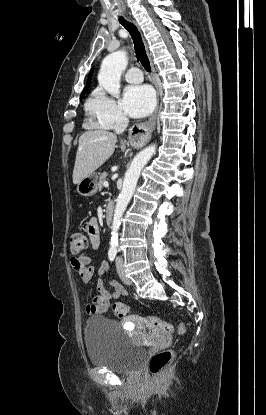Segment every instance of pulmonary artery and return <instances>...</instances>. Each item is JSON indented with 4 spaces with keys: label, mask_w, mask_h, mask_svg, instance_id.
I'll return each mask as SVG.
<instances>
[{
    "label": "pulmonary artery",
    "mask_w": 266,
    "mask_h": 415,
    "mask_svg": "<svg viewBox=\"0 0 266 415\" xmlns=\"http://www.w3.org/2000/svg\"><path fill=\"white\" fill-rule=\"evenodd\" d=\"M125 79L129 83H140L143 80V75L139 68L131 67L125 73Z\"/></svg>",
    "instance_id": "obj_1"
}]
</instances>
